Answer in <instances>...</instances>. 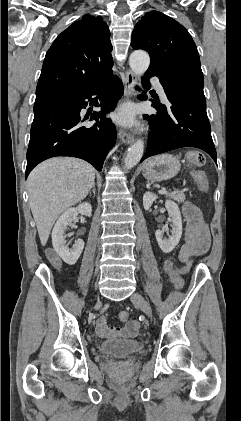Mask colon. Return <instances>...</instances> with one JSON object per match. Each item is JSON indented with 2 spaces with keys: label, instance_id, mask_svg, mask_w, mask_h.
I'll list each match as a JSON object with an SVG mask.
<instances>
[{
  "label": "colon",
  "instance_id": "colon-1",
  "mask_svg": "<svg viewBox=\"0 0 241 421\" xmlns=\"http://www.w3.org/2000/svg\"><path fill=\"white\" fill-rule=\"evenodd\" d=\"M46 1L53 2L54 0H46ZM204 162H205V157L199 151H190L187 154V163L192 169V176L202 191H205L208 187L205 173L198 169L199 167L203 166ZM51 258L53 261L57 262L56 258L53 255L51 256ZM190 264H191L190 261H186L184 266L177 267L174 265V262L172 259L166 261L165 263L166 270L170 276L172 283L174 284L176 288L180 289L183 286L182 275L185 274L189 270ZM119 318L122 322H128L129 314L123 311L119 314Z\"/></svg>",
  "mask_w": 241,
  "mask_h": 421
}]
</instances>
